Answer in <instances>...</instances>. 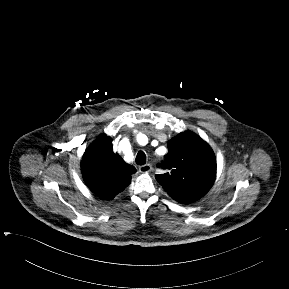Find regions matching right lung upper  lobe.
Returning <instances> with one entry per match:
<instances>
[{
    "label": "right lung upper lobe",
    "instance_id": "1",
    "mask_svg": "<svg viewBox=\"0 0 289 289\" xmlns=\"http://www.w3.org/2000/svg\"><path fill=\"white\" fill-rule=\"evenodd\" d=\"M136 172L113 152L112 139L101 135L82 158V174L89 188L102 199H113L123 191Z\"/></svg>",
    "mask_w": 289,
    "mask_h": 289
}]
</instances>
